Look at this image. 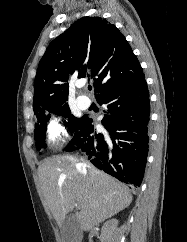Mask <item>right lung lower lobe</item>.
I'll use <instances>...</instances> for the list:
<instances>
[{
	"instance_id": "right-lung-lower-lobe-1",
	"label": "right lung lower lobe",
	"mask_w": 187,
	"mask_h": 242,
	"mask_svg": "<svg viewBox=\"0 0 187 242\" xmlns=\"http://www.w3.org/2000/svg\"><path fill=\"white\" fill-rule=\"evenodd\" d=\"M106 105L101 123L107 133H97L84 116L66 151L80 150L97 168L118 180L140 186L148 155L149 92L145 77L101 94Z\"/></svg>"
}]
</instances>
